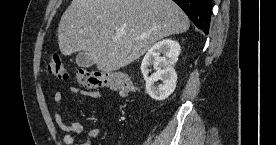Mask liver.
Here are the masks:
<instances>
[{
	"label": "liver",
	"instance_id": "liver-1",
	"mask_svg": "<svg viewBox=\"0 0 276 145\" xmlns=\"http://www.w3.org/2000/svg\"><path fill=\"white\" fill-rule=\"evenodd\" d=\"M189 26L172 0H73L60 20L58 45L63 55L85 52L98 70L112 72Z\"/></svg>",
	"mask_w": 276,
	"mask_h": 145
}]
</instances>
